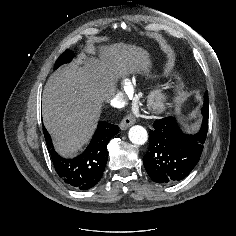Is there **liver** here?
Here are the masks:
<instances>
[{
    "mask_svg": "<svg viewBox=\"0 0 236 236\" xmlns=\"http://www.w3.org/2000/svg\"><path fill=\"white\" fill-rule=\"evenodd\" d=\"M98 53L99 58L82 55L59 68L44 87L43 122L62 156H73L88 143L120 75L150 71L149 54L141 47L115 43L98 47Z\"/></svg>",
    "mask_w": 236,
    "mask_h": 236,
    "instance_id": "liver-1",
    "label": "liver"
}]
</instances>
